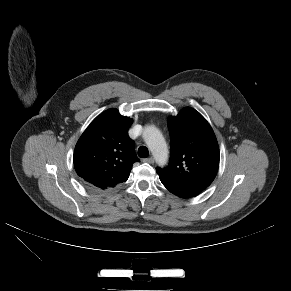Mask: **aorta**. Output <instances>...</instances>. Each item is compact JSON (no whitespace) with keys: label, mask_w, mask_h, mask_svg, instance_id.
<instances>
[{"label":"aorta","mask_w":291,"mask_h":291,"mask_svg":"<svg viewBox=\"0 0 291 291\" xmlns=\"http://www.w3.org/2000/svg\"><path fill=\"white\" fill-rule=\"evenodd\" d=\"M143 138L158 165L163 166L168 160V147L160 130L154 126H147Z\"/></svg>","instance_id":"obj_1"}]
</instances>
